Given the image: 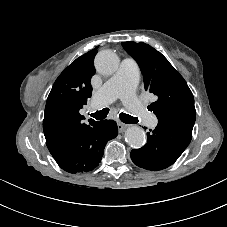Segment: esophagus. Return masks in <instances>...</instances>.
Returning <instances> with one entry per match:
<instances>
[{"instance_id": "obj_1", "label": "esophagus", "mask_w": 227, "mask_h": 227, "mask_svg": "<svg viewBox=\"0 0 227 227\" xmlns=\"http://www.w3.org/2000/svg\"><path fill=\"white\" fill-rule=\"evenodd\" d=\"M117 127H118L119 132H123L128 127V125H126L122 122H117Z\"/></svg>"}]
</instances>
